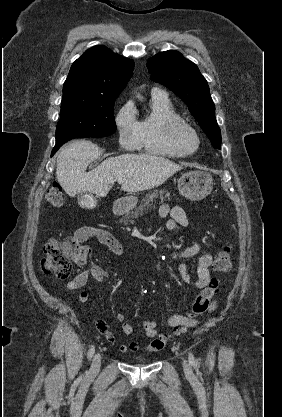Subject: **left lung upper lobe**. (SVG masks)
<instances>
[{"label": "left lung upper lobe", "mask_w": 282, "mask_h": 417, "mask_svg": "<svg viewBox=\"0 0 282 417\" xmlns=\"http://www.w3.org/2000/svg\"><path fill=\"white\" fill-rule=\"evenodd\" d=\"M151 79L178 95L211 140L214 148L221 149V133L215 119V105L206 79L198 67L175 50L156 54L148 60Z\"/></svg>", "instance_id": "left-lung-upper-lobe-1"}]
</instances>
